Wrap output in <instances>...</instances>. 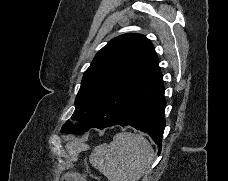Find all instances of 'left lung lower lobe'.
Returning a JSON list of instances; mask_svg holds the SVG:
<instances>
[{"label":"left lung lower lobe","mask_w":228,"mask_h":181,"mask_svg":"<svg viewBox=\"0 0 228 181\" xmlns=\"http://www.w3.org/2000/svg\"><path fill=\"white\" fill-rule=\"evenodd\" d=\"M164 92L162 74L157 62L134 89L122 118L112 125L132 126L148 133L158 145V154L161 152L165 128Z\"/></svg>","instance_id":"left-lung-lower-lobe-1"}]
</instances>
